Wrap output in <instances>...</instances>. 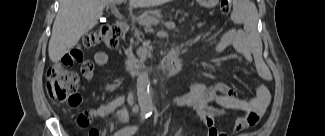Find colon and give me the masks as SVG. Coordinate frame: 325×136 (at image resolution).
<instances>
[{
  "label": "colon",
  "mask_w": 325,
  "mask_h": 136,
  "mask_svg": "<svg viewBox=\"0 0 325 136\" xmlns=\"http://www.w3.org/2000/svg\"><path fill=\"white\" fill-rule=\"evenodd\" d=\"M232 7V0H221L220 11L227 15ZM120 31L116 26L104 25L89 34L83 39L85 47L104 46L112 48L118 42ZM79 87L78 75L67 70L61 63H55L47 71V90L51 99L58 103H66L75 106L79 103L77 95ZM88 136H99L96 130H91Z\"/></svg>",
  "instance_id": "1"
}]
</instances>
